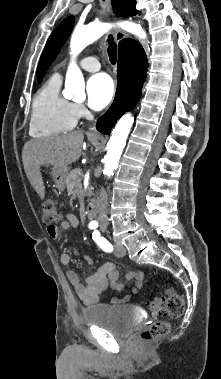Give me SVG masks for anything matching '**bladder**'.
<instances>
[{
	"label": "bladder",
	"mask_w": 221,
	"mask_h": 379,
	"mask_svg": "<svg viewBox=\"0 0 221 379\" xmlns=\"http://www.w3.org/2000/svg\"><path fill=\"white\" fill-rule=\"evenodd\" d=\"M85 323L99 326L115 336H127L139 323L133 307L101 304L89 307L82 312Z\"/></svg>",
	"instance_id": "1"
}]
</instances>
